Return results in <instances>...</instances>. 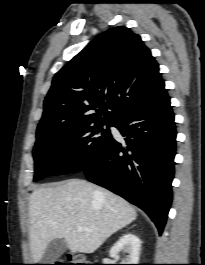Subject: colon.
<instances>
[{
  "label": "colon",
  "instance_id": "1",
  "mask_svg": "<svg viewBox=\"0 0 205 265\" xmlns=\"http://www.w3.org/2000/svg\"><path fill=\"white\" fill-rule=\"evenodd\" d=\"M69 263L70 264H63V262L59 261V262H56V264H51V265H92V264H86L88 263L87 259L85 256L81 254H76L72 256V258L69 259Z\"/></svg>",
  "mask_w": 205,
  "mask_h": 265
}]
</instances>
